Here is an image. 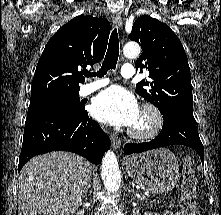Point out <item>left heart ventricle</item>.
Listing matches in <instances>:
<instances>
[{
    "mask_svg": "<svg viewBox=\"0 0 221 215\" xmlns=\"http://www.w3.org/2000/svg\"><path fill=\"white\" fill-rule=\"evenodd\" d=\"M149 123V118L145 114L140 113L132 127L135 129H144L149 125Z\"/></svg>",
    "mask_w": 221,
    "mask_h": 215,
    "instance_id": "left-heart-ventricle-1",
    "label": "left heart ventricle"
}]
</instances>
